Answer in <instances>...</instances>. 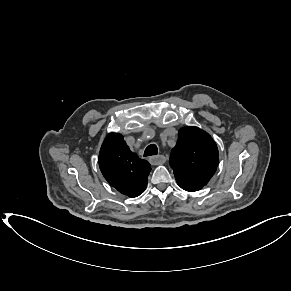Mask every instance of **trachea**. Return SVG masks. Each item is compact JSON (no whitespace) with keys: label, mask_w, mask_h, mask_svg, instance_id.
Masks as SVG:
<instances>
[{"label":"trachea","mask_w":291,"mask_h":291,"mask_svg":"<svg viewBox=\"0 0 291 291\" xmlns=\"http://www.w3.org/2000/svg\"><path fill=\"white\" fill-rule=\"evenodd\" d=\"M158 154V148L155 144L149 145L145 151H144V156H152V155H157Z\"/></svg>","instance_id":"1"}]
</instances>
